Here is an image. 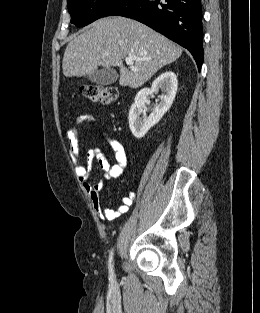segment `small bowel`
<instances>
[{
  "mask_svg": "<svg viewBox=\"0 0 260 313\" xmlns=\"http://www.w3.org/2000/svg\"><path fill=\"white\" fill-rule=\"evenodd\" d=\"M95 123H97V119L94 117L87 115H81L77 117L73 125L66 132V140L71 161L75 168V173L80 180L83 190L88 195L94 211L100 219L112 221L119 218L122 214L128 211L136 194L135 192H130L128 195L122 198L121 204L118 205L115 209L104 206L102 204L99 195V192L102 188V183H92L88 178V167L90 160L96 158L100 164L101 169L103 170V179L111 180L119 178L124 173L128 164V156L126 149L121 142L106 135L107 141L114 152L116 163L111 164L103 155L93 152L88 155V162L83 163L78 153L79 129L84 125Z\"/></svg>",
  "mask_w": 260,
  "mask_h": 313,
  "instance_id": "small-bowel-1",
  "label": "small bowel"
}]
</instances>
